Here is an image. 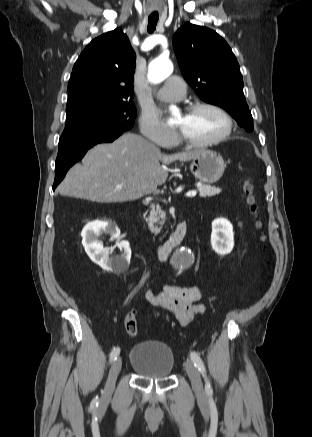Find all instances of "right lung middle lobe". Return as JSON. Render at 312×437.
Listing matches in <instances>:
<instances>
[{
    "label": "right lung middle lobe",
    "mask_w": 312,
    "mask_h": 437,
    "mask_svg": "<svg viewBox=\"0 0 312 437\" xmlns=\"http://www.w3.org/2000/svg\"><path fill=\"white\" fill-rule=\"evenodd\" d=\"M66 114L59 150L129 130L134 125L136 109L131 102H82L67 107Z\"/></svg>",
    "instance_id": "obj_1"
}]
</instances>
